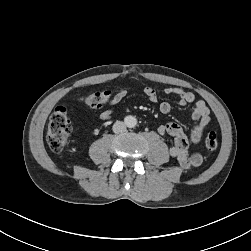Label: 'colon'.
I'll return each mask as SVG.
<instances>
[{
  "mask_svg": "<svg viewBox=\"0 0 251 251\" xmlns=\"http://www.w3.org/2000/svg\"><path fill=\"white\" fill-rule=\"evenodd\" d=\"M110 91H98L82 98V101L89 107L99 108L111 100ZM72 132V124L68 117L66 108L57 107L50 116L46 139L50 149L60 154L69 141ZM205 146L208 150L214 151L218 147V136L215 131H210L205 137Z\"/></svg>",
  "mask_w": 251,
  "mask_h": 251,
  "instance_id": "5ec220e1",
  "label": "colon"
}]
</instances>
